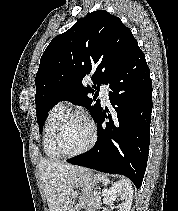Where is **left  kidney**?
<instances>
[{
  "instance_id": "1",
  "label": "left kidney",
  "mask_w": 178,
  "mask_h": 211,
  "mask_svg": "<svg viewBox=\"0 0 178 211\" xmlns=\"http://www.w3.org/2000/svg\"><path fill=\"white\" fill-rule=\"evenodd\" d=\"M119 197L121 204L117 207L119 211H130L133 200L132 184L127 179L116 182L104 195L103 203L112 206L113 200Z\"/></svg>"
}]
</instances>
